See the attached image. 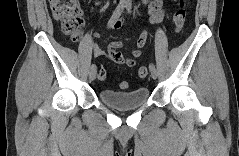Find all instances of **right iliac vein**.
<instances>
[{
  "mask_svg": "<svg viewBox=\"0 0 239 156\" xmlns=\"http://www.w3.org/2000/svg\"><path fill=\"white\" fill-rule=\"evenodd\" d=\"M96 73H97L96 68H93V69L90 70V72H89V79L91 81H93L96 78Z\"/></svg>",
  "mask_w": 239,
  "mask_h": 156,
  "instance_id": "63e3f726",
  "label": "right iliac vein"
}]
</instances>
